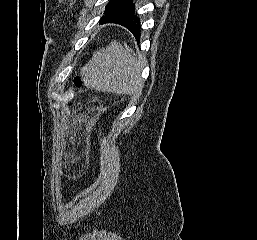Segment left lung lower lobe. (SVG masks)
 Returning <instances> with one entry per match:
<instances>
[{"label": "left lung lower lobe", "instance_id": "0a47b994", "mask_svg": "<svg viewBox=\"0 0 257 240\" xmlns=\"http://www.w3.org/2000/svg\"><path fill=\"white\" fill-rule=\"evenodd\" d=\"M100 22L102 24L116 23L124 26L138 41L140 39V19L137 14H135L133 0H121L105 13Z\"/></svg>", "mask_w": 257, "mask_h": 240}]
</instances>
